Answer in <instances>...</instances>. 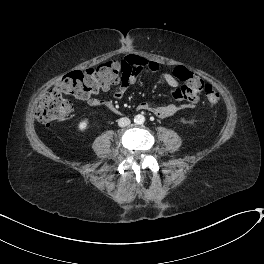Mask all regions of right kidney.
<instances>
[{
  "instance_id": "obj_1",
  "label": "right kidney",
  "mask_w": 264,
  "mask_h": 264,
  "mask_svg": "<svg viewBox=\"0 0 264 264\" xmlns=\"http://www.w3.org/2000/svg\"><path fill=\"white\" fill-rule=\"evenodd\" d=\"M87 127H88V119H84L78 124V129L80 131H84L85 129H87Z\"/></svg>"
}]
</instances>
